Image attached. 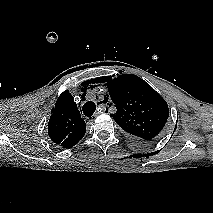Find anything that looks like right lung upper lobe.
<instances>
[{
  "instance_id": "obj_1",
  "label": "right lung upper lobe",
  "mask_w": 213,
  "mask_h": 213,
  "mask_svg": "<svg viewBox=\"0 0 213 213\" xmlns=\"http://www.w3.org/2000/svg\"><path fill=\"white\" fill-rule=\"evenodd\" d=\"M86 124L72 95L65 91L57 99L48 123V135L58 146L70 148L85 135Z\"/></svg>"
}]
</instances>
